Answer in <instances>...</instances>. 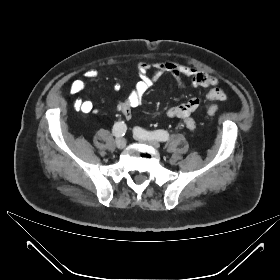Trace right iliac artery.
Wrapping results in <instances>:
<instances>
[{
  "label": "right iliac artery",
  "instance_id": "right-iliac-artery-1",
  "mask_svg": "<svg viewBox=\"0 0 280 280\" xmlns=\"http://www.w3.org/2000/svg\"><path fill=\"white\" fill-rule=\"evenodd\" d=\"M127 127L124 122H117L113 126V134L115 137H123L126 133Z\"/></svg>",
  "mask_w": 280,
  "mask_h": 280
}]
</instances>
